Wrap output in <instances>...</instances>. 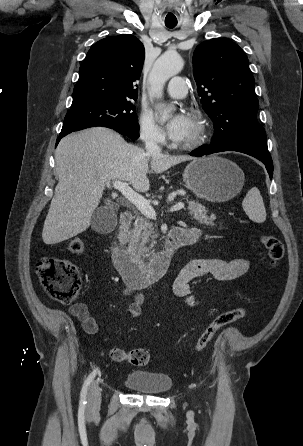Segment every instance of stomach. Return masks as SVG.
Listing matches in <instances>:
<instances>
[{"mask_svg":"<svg viewBox=\"0 0 303 446\" xmlns=\"http://www.w3.org/2000/svg\"><path fill=\"white\" fill-rule=\"evenodd\" d=\"M183 180L198 198L225 202L241 191L245 175L234 162L219 156H209L190 162L183 172Z\"/></svg>","mask_w":303,"mask_h":446,"instance_id":"obj_1","label":"stomach"}]
</instances>
